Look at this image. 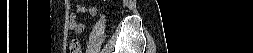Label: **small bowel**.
<instances>
[{
	"label": "small bowel",
	"mask_w": 253,
	"mask_h": 53,
	"mask_svg": "<svg viewBox=\"0 0 253 53\" xmlns=\"http://www.w3.org/2000/svg\"><path fill=\"white\" fill-rule=\"evenodd\" d=\"M76 11L78 13H86L88 15L94 16L97 13L98 9L96 7L86 8V7L79 6L77 7ZM69 27L75 33H81L85 27L84 23L78 21L75 12H71L69 14Z\"/></svg>",
	"instance_id": "c3829d8e"
}]
</instances>
